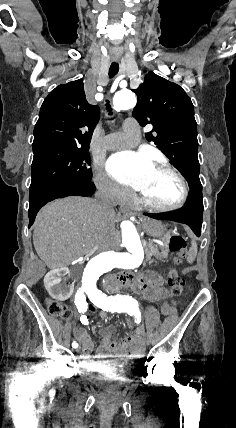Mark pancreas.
Masks as SVG:
<instances>
[{
	"label": "pancreas",
	"instance_id": "obj_1",
	"mask_svg": "<svg viewBox=\"0 0 236 428\" xmlns=\"http://www.w3.org/2000/svg\"><path fill=\"white\" fill-rule=\"evenodd\" d=\"M163 242V240H162ZM161 250V252H159ZM145 254H146V262L148 260H151L152 256H155V258H167L168 252H167V246L164 244V246H157V244H154V242H149L145 248Z\"/></svg>",
	"mask_w": 236,
	"mask_h": 428
}]
</instances>
